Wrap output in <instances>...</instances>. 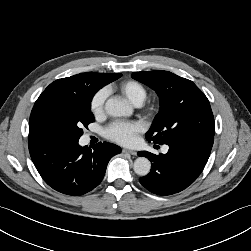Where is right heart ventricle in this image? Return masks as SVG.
<instances>
[{
  "label": "right heart ventricle",
  "mask_w": 251,
  "mask_h": 251,
  "mask_svg": "<svg viewBox=\"0 0 251 251\" xmlns=\"http://www.w3.org/2000/svg\"><path fill=\"white\" fill-rule=\"evenodd\" d=\"M119 91L133 104L141 105L146 97L145 86L136 80L123 81L118 85Z\"/></svg>",
  "instance_id": "e07e8e85"
}]
</instances>
